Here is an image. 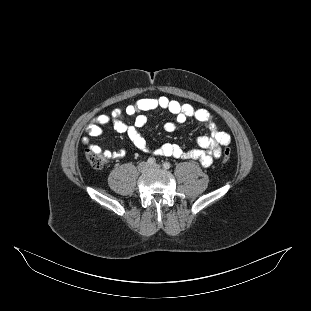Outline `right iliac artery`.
<instances>
[{"instance_id":"82829eb1","label":"right iliac artery","mask_w":311,"mask_h":311,"mask_svg":"<svg viewBox=\"0 0 311 311\" xmlns=\"http://www.w3.org/2000/svg\"><path fill=\"white\" fill-rule=\"evenodd\" d=\"M147 163H148L149 165H154V164L156 163V160H155L154 158H149V159L147 160Z\"/></svg>"}]
</instances>
